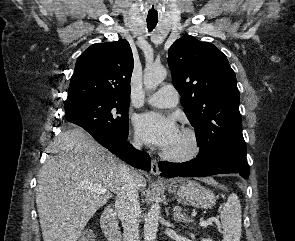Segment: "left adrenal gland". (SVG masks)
Masks as SVG:
<instances>
[{"mask_svg": "<svg viewBox=\"0 0 295 241\" xmlns=\"http://www.w3.org/2000/svg\"><path fill=\"white\" fill-rule=\"evenodd\" d=\"M174 213H173V219L175 221H180V222H190L191 218L185 213H182V209L179 206H175L173 209Z\"/></svg>", "mask_w": 295, "mask_h": 241, "instance_id": "obj_1", "label": "left adrenal gland"}]
</instances>
